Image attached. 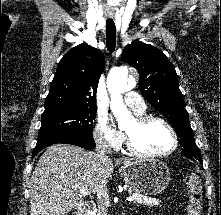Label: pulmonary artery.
Instances as JSON below:
<instances>
[{
    "label": "pulmonary artery",
    "instance_id": "1",
    "mask_svg": "<svg viewBox=\"0 0 221 215\" xmlns=\"http://www.w3.org/2000/svg\"><path fill=\"white\" fill-rule=\"evenodd\" d=\"M124 101L136 114H143L146 110L143 98L135 91H128Z\"/></svg>",
    "mask_w": 221,
    "mask_h": 215
}]
</instances>
